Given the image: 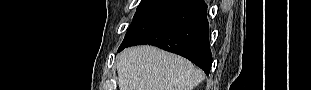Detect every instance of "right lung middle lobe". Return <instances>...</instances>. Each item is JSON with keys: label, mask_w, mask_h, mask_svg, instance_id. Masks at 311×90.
Wrapping results in <instances>:
<instances>
[{"label": "right lung middle lobe", "mask_w": 311, "mask_h": 90, "mask_svg": "<svg viewBox=\"0 0 311 90\" xmlns=\"http://www.w3.org/2000/svg\"><path fill=\"white\" fill-rule=\"evenodd\" d=\"M192 0H142L121 45L134 42L166 23Z\"/></svg>", "instance_id": "right-lung-middle-lobe-1"}]
</instances>
